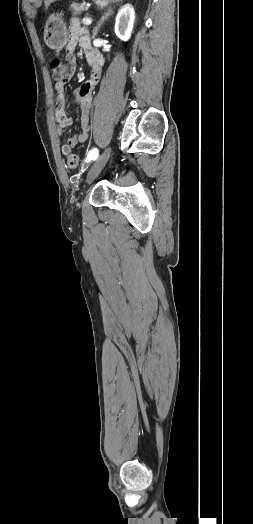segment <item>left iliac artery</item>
<instances>
[{"mask_svg": "<svg viewBox=\"0 0 253 524\" xmlns=\"http://www.w3.org/2000/svg\"><path fill=\"white\" fill-rule=\"evenodd\" d=\"M98 157V149L94 148L87 156V160H96Z\"/></svg>", "mask_w": 253, "mask_h": 524, "instance_id": "44dca946", "label": "left iliac artery"}]
</instances>
